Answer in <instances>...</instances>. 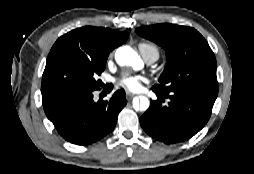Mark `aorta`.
I'll return each mask as SVG.
<instances>
[{
	"instance_id": "762f6f07",
	"label": "aorta",
	"mask_w": 254,
	"mask_h": 174,
	"mask_svg": "<svg viewBox=\"0 0 254 174\" xmlns=\"http://www.w3.org/2000/svg\"><path fill=\"white\" fill-rule=\"evenodd\" d=\"M115 59L119 65L132 66L134 69L138 68L142 63L138 54L129 46L119 48L115 53ZM149 105L150 102L145 96H139L133 99V108L135 110L146 111Z\"/></svg>"
}]
</instances>
